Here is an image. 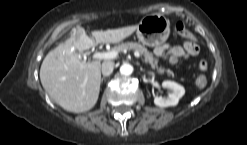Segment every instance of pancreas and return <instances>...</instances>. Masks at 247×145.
<instances>
[{
	"mask_svg": "<svg viewBox=\"0 0 247 145\" xmlns=\"http://www.w3.org/2000/svg\"><path fill=\"white\" fill-rule=\"evenodd\" d=\"M114 51L123 52L124 50H134L138 51L141 55L144 56V61L150 64L152 69H156L159 74L167 73L171 74L170 70H166L164 67L158 66V59L154 57V55L147 50L143 45L137 42H127L121 43L118 46L113 48Z\"/></svg>",
	"mask_w": 247,
	"mask_h": 145,
	"instance_id": "obj_1",
	"label": "pancreas"
}]
</instances>
